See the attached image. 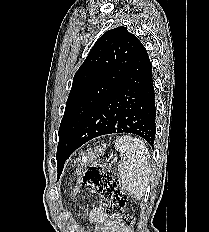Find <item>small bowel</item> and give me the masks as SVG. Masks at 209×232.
Returning a JSON list of instances; mask_svg holds the SVG:
<instances>
[{
	"mask_svg": "<svg viewBox=\"0 0 209 232\" xmlns=\"http://www.w3.org/2000/svg\"><path fill=\"white\" fill-rule=\"evenodd\" d=\"M88 217L91 223L99 227L95 232H127L124 231L120 222L109 217L104 205H99L90 210Z\"/></svg>",
	"mask_w": 209,
	"mask_h": 232,
	"instance_id": "small-bowel-1",
	"label": "small bowel"
}]
</instances>
